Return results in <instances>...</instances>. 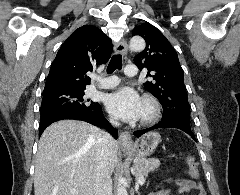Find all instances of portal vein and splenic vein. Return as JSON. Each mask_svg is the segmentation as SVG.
Returning <instances> with one entry per match:
<instances>
[{"label": "portal vein and splenic vein", "mask_w": 240, "mask_h": 195, "mask_svg": "<svg viewBox=\"0 0 240 195\" xmlns=\"http://www.w3.org/2000/svg\"><path fill=\"white\" fill-rule=\"evenodd\" d=\"M132 173H135V171H132ZM137 182L139 183V186L140 187H143L144 186V177L143 175H141V173H139L138 177H137ZM70 193H76V189H70Z\"/></svg>", "instance_id": "obj_1"}]
</instances>
